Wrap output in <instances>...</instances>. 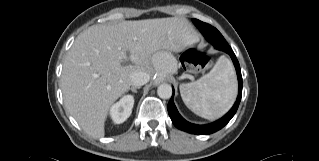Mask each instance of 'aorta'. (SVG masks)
<instances>
[{
  "label": "aorta",
  "mask_w": 319,
  "mask_h": 161,
  "mask_svg": "<svg viewBox=\"0 0 319 161\" xmlns=\"http://www.w3.org/2000/svg\"><path fill=\"white\" fill-rule=\"evenodd\" d=\"M157 94L162 99H169L172 96V88L169 84L163 83L159 85Z\"/></svg>",
  "instance_id": "762f6f07"
}]
</instances>
